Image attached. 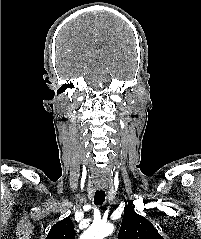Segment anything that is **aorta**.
Here are the masks:
<instances>
[{
  "label": "aorta",
  "mask_w": 201,
  "mask_h": 239,
  "mask_svg": "<svg viewBox=\"0 0 201 239\" xmlns=\"http://www.w3.org/2000/svg\"><path fill=\"white\" fill-rule=\"evenodd\" d=\"M114 231L111 223L101 222L92 224L80 237V239H103Z\"/></svg>",
  "instance_id": "762f6f07"
}]
</instances>
